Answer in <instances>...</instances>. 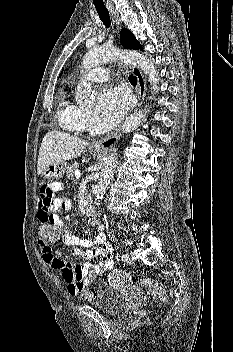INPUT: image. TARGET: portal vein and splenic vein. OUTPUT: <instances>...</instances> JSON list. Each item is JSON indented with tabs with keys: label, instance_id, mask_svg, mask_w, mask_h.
Returning a JSON list of instances; mask_svg holds the SVG:
<instances>
[{
	"label": "portal vein and splenic vein",
	"instance_id": "18ae733b",
	"mask_svg": "<svg viewBox=\"0 0 233 352\" xmlns=\"http://www.w3.org/2000/svg\"><path fill=\"white\" fill-rule=\"evenodd\" d=\"M75 177H76V179H80L81 173H80L79 170H76V171H75Z\"/></svg>",
	"mask_w": 233,
	"mask_h": 352
}]
</instances>
